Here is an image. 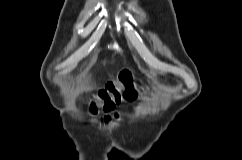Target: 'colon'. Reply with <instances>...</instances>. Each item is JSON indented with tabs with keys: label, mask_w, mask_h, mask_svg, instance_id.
<instances>
[{
	"label": "colon",
	"mask_w": 242,
	"mask_h": 160,
	"mask_svg": "<svg viewBox=\"0 0 242 160\" xmlns=\"http://www.w3.org/2000/svg\"><path fill=\"white\" fill-rule=\"evenodd\" d=\"M135 77L131 72L122 73L117 81L108 82L94 95L90 105L92 112L99 110L110 112L124 100H133Z\"/></svg>",
	"instance_id": "5ec220e1"
}]
</instances>
